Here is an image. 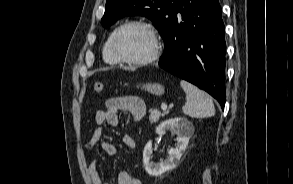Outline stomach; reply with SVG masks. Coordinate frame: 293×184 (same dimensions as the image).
Masks as SVG:
<instances>
[{
	"label": "stomach",
	"mask_w": 293,
	"mask_h": 184,
	"mask_svg": "<svg viewBox=\"0 0 293 184\" xmlns=\"http://www.w3.org/2000/svg\"><path fill=\"white\" fill-rule=\"evenodd\" d=\"M141 88L155 95H162L164 93V87L158 83L143 84Z\"/></svg>",
	"instance_id": "stomach-1"
}]
</instances>
